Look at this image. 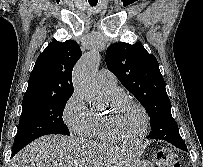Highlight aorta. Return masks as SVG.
<instances>
[{
	"label": "aorta",
	"instance_id": "762f6f07",
	"mask_svg": "<svg viewBox=\"0 0 203 167\" xmlns=\"http://www.w3.org/2000/svg\"><path fill=\"white\" fill-rule=\"evenodd\" d=\"M99 62V53L92 50L86 53L74 68L73 85L75 91L89 103L95 102L98 96L95 73Z\"/></svg>",
	"mask_w": 203,
	"mask_h": 167
}]
</instances>
